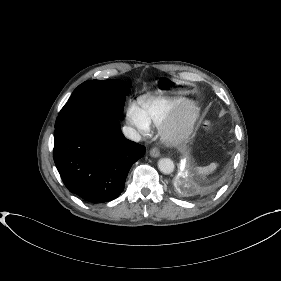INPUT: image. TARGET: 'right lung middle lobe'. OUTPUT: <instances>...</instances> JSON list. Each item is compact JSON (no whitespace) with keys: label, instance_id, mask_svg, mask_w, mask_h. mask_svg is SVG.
<instances>
[{"label":"right lung middle lobe","instance_id":"dd1d6c3e","mask_svg":"<svg viewBox=\"0 0 281 281\" xmlns=\"http://www.w3.org/2000/svg\"><path fill=\"white\" fill-rule=\"evenodd\" d=\"M130 87L122 80H89L82 83L61 109L55 128L76 119H120Z\"/></svg>","mask_w":281,"mask_h":281}]
</instances>
